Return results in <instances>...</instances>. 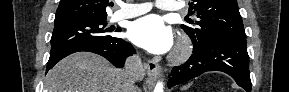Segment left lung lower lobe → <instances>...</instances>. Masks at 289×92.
I'll use <instances>...</instances> for the list:
<instances>
[{
  "instance_id": "obj_1",
  "label": "left lung lower lobe",
  "mask_w": 289,
  "mask_h": 92,
  "mask_svg": "<svg viewBox=\"0 0 289 92\" xmlns=\"http://www.w3.org/2000/svg\"><path fill=\"white\" fill-rule=\"evenodd\" d=\"M212 70L229 74L240 87L251 92L249 56L245 37L218 36L202 47L193 46V54L188 61L171 70L168 86L181 84Z\"/></svg>"
}]
</instances>
